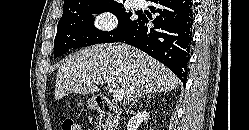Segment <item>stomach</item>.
<instances>
[{"instance_id": "obj_1", "label": "stomach", "mask_w": 249, "mask_h": 130, "mask_svg": "<svg viewBox=\"0 0 249 130\" xmlns=\"http://www.w3.org/2000/svg\"><path fill=\"white\" fill-rule=\"evenodd\" d=\"M87 104L91 109H95L97 107L96 98L95 97L89 98Z\"/></svg>"}]
</instances>
